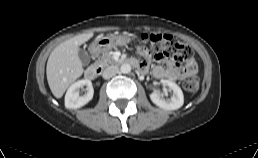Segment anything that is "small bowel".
<instances>
[{
	"instance_id": "c3829d8e",
	"label": "small bowel",
	"mask_w": 258,
	"mask_h": 158,
	"mask_svg": "<svg viewBox=\"0 0 258 158\" xmlns=\"http://www.w3.org/2000/svg\"><path fill=\"white\" fill-rule=\"evenodd\" d=\"M140 54L146 59L140 63V70L141 72L146 73L149 67L150 52L147 48L143 47L140 49ZM156 59L165 64V66L156 65L153 67L152 75L157 79L164 78L169 81H177L196 72V63L194 61L189 63L185 69H181L171 58L167 57L166 55H157Z\"/></svg>"
}]
</instances>
